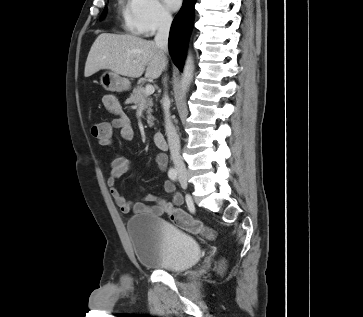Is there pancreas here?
<instances>
[{"label": "pancreas", "instance_id": "obj_1", "mask_svg": "<svg viewBox=\"0 0 363 317\" xmlns=\"http://www.w3.org/2000/svg\"><path fill=\"white\" fill-rule=\"evenodd\" d=\"M128 102L134 104L143 103L144 107L147 109V123L150 127L154 125L153 121L154 118L152 116V109L153 101L152 98L145 93V89L142 86H137L133 89L132 94L128 98Z\"/></svg>", "mask_w": 363, "mask_h": 317}]
</instances>
